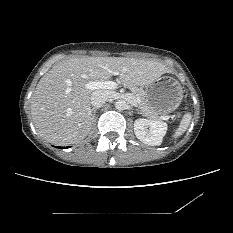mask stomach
<instances>
[{
	"label": "stomach",
	"instance_id": "stomach-1",
	"mask_svg": "<svg viewBox=\"0 0 233 233\" xmlns=\"http://www.w3.org/2000/svg\"><path fill=\"white\" fill-rule=\"evenodd\" d=\"M145 100L158 114H169L178 108L183 99L181 84L170 76H162L146 85Z\"/></svg>",
	"mask_w": 233,
	"mask_h": 233
}]
</instances>
